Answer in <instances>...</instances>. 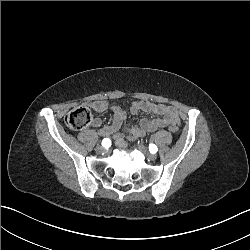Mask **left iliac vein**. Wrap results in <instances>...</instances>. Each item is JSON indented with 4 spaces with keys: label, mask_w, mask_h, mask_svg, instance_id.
<instances>
[{
    "label": "left iliac vein",
    "mask_w": 250,
    "mask_h": 250,
    "mask_svg": "<svg viewBox=\"0 0 250 250\" xmlns=\"http://www.w3.org/2000/svg\"><path fill=\"white\" fill-rule=\"evenodd\" d=\"M137 148L151 161L155 160L157 156L147 151V148L144 145L138 144Z\"/></svg>",
    "instance_id": "4c4485c4"
}]
</instances>
